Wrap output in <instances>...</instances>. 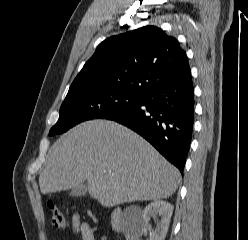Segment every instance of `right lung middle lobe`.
<instances>
[{
    "label": "right lung middle lobe",
    "mask_w": 248,
    "mask_h": 240,
    "mask_svg": "<svg viewBox=\"0 0 248 240\" xmlns=\"http://www.w3.org/2000/svg\"><path fill=\"white\" fill-rule=\"evenodd\" d=\"M144 95L111 88L70 90L61 105L58 122L50 135L66 132L86 120L104 119L138 103Z\"/></svg>",
    "instance_id": "1"
}]
</instances>
